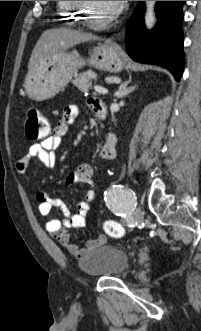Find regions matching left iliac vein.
Instances as JSON below:
<instances>
[{
  "instance_id": "4c4485c4",
  "label": "left iliac vein",
  "mask_w": 201,
  "mask_h": 331,
  "mask_svg": "<svg viewBox=\"0 0 201 331\" xmlns=\"http://www.w3.org/2000/svg\"><path fill=\"white\" fill-rule=\"evenodd\" d=\"M133 219L136 223H141L143 221V211L140 206L136 208V210L133 213Z\"/></svg>"
}]
</instances>
